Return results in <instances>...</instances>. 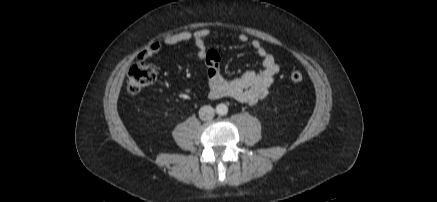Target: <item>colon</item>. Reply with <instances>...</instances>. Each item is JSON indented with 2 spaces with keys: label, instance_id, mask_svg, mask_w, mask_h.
Listing matches in <instances>:
<instances>
[{
  "label": "colon",
  "instance_id": "5ec220e1",
  "mask_svg": "<svg viewBox=\"0 0 437 202\" xmlns=\"http://www.w3.org/2000/svg\"><path fill=\"white\" fill-rule=\"evenodd\" d=\"M158 77V69L152 64L139 62L134 64L128 72L127 90L130 94L136 95L145 88L152 85ZM291 81L298 83L303 80L300 71H293L290 74Z\"/></svg>",
  "mask_w": 437,
  "mask_h": 202
}]
</instances>
